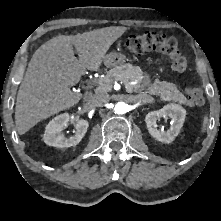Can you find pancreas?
Returning <instances> with one entry per match:
<instances>
[{"mask_svg":"<svg viewBox=\"0 0 221 221\" xmlns=\"http://www.w3.org/2000/svg\"><path fill=\"white\" fill-rule=\"evenodd\" d=\"M143 72L138 66L132 64H123L121 66L114 67L107 74L99 79L100 92H108L112 89V85L115 81L121 80L125 83L133 80H141ZM139 84L131 86L135 91L139 90ZM146 93L150 95L160 96L164 101H175L180 104L188 105L186 97L177 89L176 85L166 81L156 80L153 84L148 86Z\"/></svg>","mask_w":221,"mask_h":221,"instance_id":"pancreas-1","label":"pancreas"}]
</instances>
